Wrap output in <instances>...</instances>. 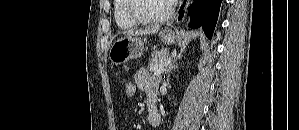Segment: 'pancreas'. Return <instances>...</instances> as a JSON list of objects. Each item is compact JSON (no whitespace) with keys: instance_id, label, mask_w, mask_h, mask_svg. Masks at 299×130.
<instances>
[{"instance_id":"pancreas-1","label":"pancreas","mask_w":299,"mask_h":130,"mask_svg":"<svg viewBox=\"0 0 299 130\" xmlns=\"http://www.w3.org/2000/svg\"><path fill=\"white\" fill-rule=\"evenodd\" d=\"M168 57V50L164 49L161 51H153L151 54V59L149 60L148 69L155 70L158 67L165 65Z\"/></svg>"}]
</instances>
